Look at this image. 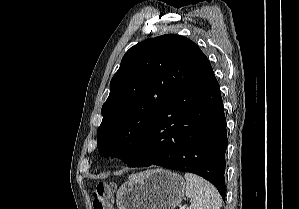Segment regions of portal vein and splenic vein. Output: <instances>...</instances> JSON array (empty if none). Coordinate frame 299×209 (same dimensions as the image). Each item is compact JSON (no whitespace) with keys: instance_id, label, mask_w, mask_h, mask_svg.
<instances>
[{"instance_id":"18ae733b","label":"portal vein and splenic vein","mask_w":299,"mask_h":209,"mask_svg":"<svg viewBox=\"0 0 299 209\" xmlns=\"http://www.w3.org/2000/svg\"><path fill=\"white\" fill-rule=\"evenodd\" d=\"M180 209H187V207H186V206H183V207H181Z\"/></svg>"}]
</instances>
